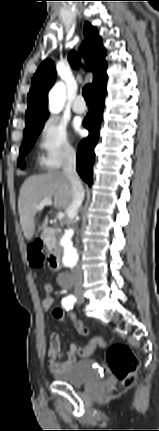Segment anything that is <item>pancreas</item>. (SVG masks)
Segmentation results:
<instances>
[{
  "mask_svg": "<svg viewBox=\"0 0 159 431\" xmlns=\"http://www.w3.org/2000/svg\"><path fill=\"white\" fill-rule=\"evenodd\" d=\"M55 247V239L54 238H52L51 239V244L49 245V250H51L52 248H54Z\"/></svg>",
  "mask_w": 159,
  "mask_h": 431,
  "instance_id": "obj_1",
  "label": "pancreas"
}]
</instances>
